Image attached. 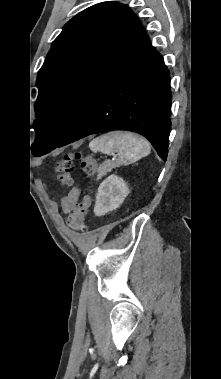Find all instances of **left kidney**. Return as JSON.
I'll use <instances>...</instances> for the list:
<instances>
[{
  "label": "left kidney",
  "instance_id": "1",
  "mask_svg": "<svg viewBox=\"0 0 221 379\" xmlns=\"http://www.w3.org/2000/svg\"><path fill=\"white\" fill-rule=\"evenodd\" d=\"M128 194L129 188L122 178L116 175L109 176L98 188L94 206L95 215L102 216L116 210Z\"/></svg>",
  "mask_w": 221,
  "mask_h": 379
}]
</instances>
